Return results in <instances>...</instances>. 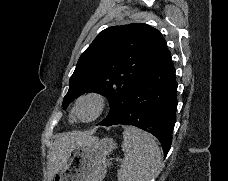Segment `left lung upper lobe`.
Masks as SVG:
<instances>
[{"instance_id":"left-lung-upper-lobe-1","label":"left lung upper lobe","mask_w":228,"mask_h":181,"mask_svg":"<svg viewBox=\"0 0 228 181\" xmlns=\"http://www.w3.org/2000/svg\"><path fill=\"white\" fill-rule=\"evenodd\" d=\"M166 49L162 34L144 23L103 30L78 60L63 100L64 109L83 93L96 92L110 103V112L99 125L118 122L140 76Z\"/></svg>"}]
</instances>
